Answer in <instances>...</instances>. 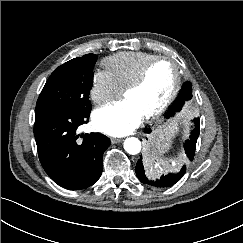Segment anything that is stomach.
Masks as SVG:
<instances>
[{
  "instance_id": "1",
  "label": "stomach",
  "mask_w": 243,
  "mask_h": 243,
  "mask_svg": "<svg viewBox=\"0 0 243 243\" xmlns=\"http://www.w3.org/2000/svg\"><path fill=\"white\" fill-rule=\"evenodd\" d=\"M180 127L179 118H174L155 130L149 137L147 153L152 158L163 157L172 145Z\"/></svg>"
}]
</instances>
